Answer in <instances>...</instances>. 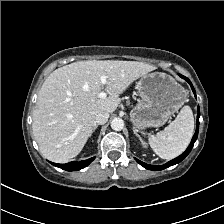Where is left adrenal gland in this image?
<instances>
[{"instance_id":"left-adrenal-gland-1","label":"left adrenal gland","mask_w":224,"mask_h":224,"mask_svg":"<svg viewBox=\"0 0 224 224\" xmlns=\"http://www.w3.org/2000/svg\"><path fill=\"white\" fill-rule=\"evenodd\" d=\"M133 132L139 138V140L141 141L142 139H141L140 135L137 133V130L134 127H133Z\"/></svg>"}]
</instances>
